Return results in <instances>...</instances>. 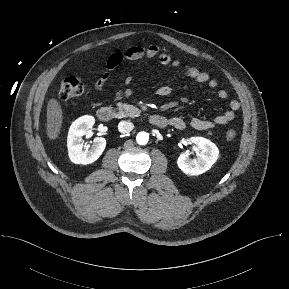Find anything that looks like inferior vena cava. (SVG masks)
I'll return each instance as SVG.
<instances>
[{"label":"inferior vena cava","mask_w":289,"mask_h":289,"mask_svg":"<svg viewBox=\"0 0 289 289\" xmlns=\"http://www.w3.org/2000/svg\"><path fill=\"white\" fill-rule=\"evenodd\" d=\"M134 128V125L130 121H120L118 124V130L120 133H128L132 131Z\"/></svg>","instance_id":"1"}]
</instances>
